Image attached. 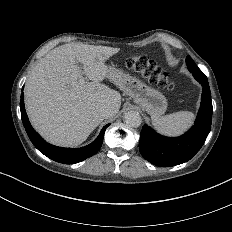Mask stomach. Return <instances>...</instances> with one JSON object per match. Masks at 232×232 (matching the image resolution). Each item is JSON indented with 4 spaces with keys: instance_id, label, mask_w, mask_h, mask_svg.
<instances>
[{
    "instance_id": "1",
    "label": "stomach",
    "mask_w": 232,
    "mask_h": 232,
    "mask_svg": "<svg viewBox=\"0 0 232 232\" xmlns=\"http://www.w3.org/2000/svg\"><path fill=\"white\" fill-rule=\"evenodd\" d=\"M106 77L120 90L129 95L152 116H161L167 109V99L158 90L147 86L136 77L126 74L112 66H107Z\"/></svg>"
}]
</instances>
